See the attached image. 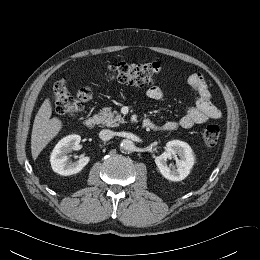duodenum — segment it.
Segmentation results:
<instances>
[{
  "mask_svg": "<svg viewBox=\"0 0 260 260\" xmlns=\"http://www.w3.org/2000/svg\"><path fill=\"white\" fill-rule=\"evenodd\" d=\"M97 123H98V117L96 116H90L84 120V126L89 129L94 128L97 125ZM142 127L144 129H152L153 123L150 120L145 119L142 122Z\"/></svg>",
  "mask_w": 260,
  "mask_h": 260,
  "instance_id": "1",
  "label": "duodenum"
}]
</instances>
